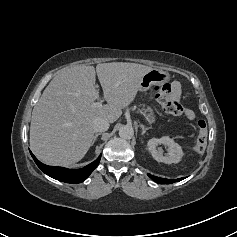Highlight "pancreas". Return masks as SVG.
I'll use <instances>...</instances> for the list:
<instances>
[{
    "mask_svg": "<svg viewBox=\"0 0 237 237\" xmlns=\"http://www.w3.org/2000/svg\"><path fill=\"white\" fill-rule=\"evenodd\" d=\"M144 113H145L146 120L149 123H153L155 121L153 110L150 107H147Z\"/></svg>",
    "mask_w": 237,
    "mask_h": 237,
    "instance_id": "pancreas-1",
    "label": "pancreas"
}]
</instances>
